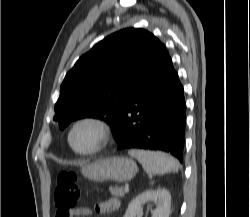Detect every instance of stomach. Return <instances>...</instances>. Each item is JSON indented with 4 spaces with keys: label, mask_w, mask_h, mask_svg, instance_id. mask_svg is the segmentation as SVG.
Instances as JSON below:
<instances>
[{
    "label": "stomach",
    "mask_w": 250,
    "mask_h": 217,
    "mask_svg": "<svg viewBox=\"0 0 250 217\" xmlns=\"http://www.w3.org/2000/svg\"><path fill=\"white\" fill-rule=\"evenodd\" d=\"M136 163L126 157L99 159L82 167V174L95 182H127L137 173Z\"/></svg>",
    "instance_id": "0dacf381"
}]
</instances>
